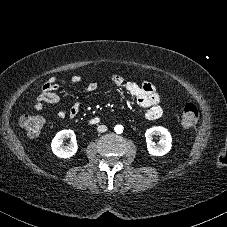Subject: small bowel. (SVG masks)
<instances>
[{"mask_svg":"<svg viewBox=\"0 0 227 227\" xmlns=\"http://www.w3.org/2000/svg\"><path fill=\"white\" fill-rule=\"evenodd\" d=\"M80 80V76H75L72 81L77 83ZM111 84L116 88H124L128 93L137 99L139 106L146 110L145 116L148 120H156L163 114V107L161 105L160 96L155 86L145 81L141 84L126 82L124 77L119 74H115L110 79ZM98 84L96 82L90 83L86 89V93H93L97 90ZM59 84L56 78L52 77L46 80L38 94L34 99L33 108L35 110H44L49 104H57L60 101V96L57 93ZM80 104L75 102L67 110L62 108L58 112V118L65 120L67 117L72 119L76 118L80 113Z\"/></svg>","mask_w":227,"mask_h":227,"instance_id":"c3829d8e","label":"small bowel"}]
</instances>
